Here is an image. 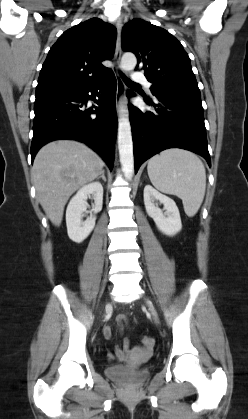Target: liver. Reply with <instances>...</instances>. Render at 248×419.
Segmentation results:
<instances>
[{
	"mask_svg": "<svg viewBox=\"0 0 248 419\" xmlns=\"http://www.w3.org/2000/svg\"><path fill=\"white\" fill-rule=\"evenodd\" d=\"M104 161L85 144L73 140L48 143L37 153L31 170L36 197L55 226H60L69 197L96 179Z\"/></svg>",
	"mask_w": 248,
	"mask_h": 419,
	"instance_id": "1",
	"label": "liver"
}]
</instances>
